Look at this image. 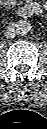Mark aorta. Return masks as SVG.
Returning a JSON list of instances; mask_svg holds the SVG:
<instances>
[{
  "mask_svg": "<svg viewBox=\"0 0 47 129\" xmlns=\"http://www.w3.org/2000/svg\"><path fill=\"white\" fill-rule=\"evenodd\" d=\"M30 30H31V25L26 20H20L16 24V32L18 35H22V36L26 35L27 33H29Z\"/></svg>",
  "mask_w": 47,
  "mask_h": 129,
  "instance_id": "aorta-1",
  "label": "aorta"
}]
</instances>
